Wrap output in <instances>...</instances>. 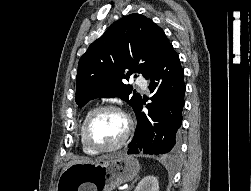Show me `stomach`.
Here are the masks:
<instances>
[{"label": "stomach", "mask_w": 251, "mask_h": 191, "mask_svg": "<svg viewBox=\"0 0 251 191\" xmlns=\"http://www.w3.org/2000/svg\"><path fill=\"white\" fill-rule=\"evenodd\" d=\"M140 169L133 155L99 157L94 163H72L61 173L57 191H111L136 177Z\"/></svg>", "instance_id": "obj_1"}]
</instances>
